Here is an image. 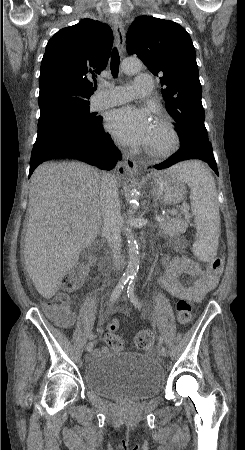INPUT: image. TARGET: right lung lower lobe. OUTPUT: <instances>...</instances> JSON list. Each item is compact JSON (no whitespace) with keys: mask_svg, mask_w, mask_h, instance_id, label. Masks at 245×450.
I'll return each instance as SVG.
<instances>
[{"mask_svg":"<svg viewBox=\"0 0 245 450\" xmlns=\"http://www.w3.org/2000/svg\"><path fill=\"white\" fill-rule=\"evenodd\" d=\"M54 158L78 159L100 169L111 170L122 157L110 135L103 133L102 120L98 118L85 134L62 138L32 150L29 177L40 163Z\"/></svg>","mask_w":245,"mask_h":450,"instance_id":"98d812e1","label":"right lung lower lobe"}]
</instances>
